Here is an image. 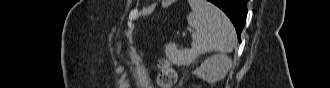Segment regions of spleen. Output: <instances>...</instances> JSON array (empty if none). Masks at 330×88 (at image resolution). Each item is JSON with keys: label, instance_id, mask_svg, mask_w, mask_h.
Listing matches in <instances>:
<instances>
[{"label": "spleen", "instance_id": "spleen-1", "mask_svg": "<svg viewBox=\"0 0 330 88\" xmlns=\"http://www.w3.org/2000/svg\"><path fill=\"white\" fill-rule=\"evenodd\" d=\"M188 24L195 29L191 49H178L174 43L165 45V55L176 65H190L208 52L229 53L235 47L236 33L228 17L206 0H189Z\"/></svg>", "mask_w": 330, "mask_h": 88}]
</instances>
